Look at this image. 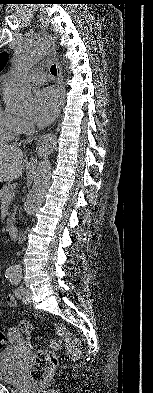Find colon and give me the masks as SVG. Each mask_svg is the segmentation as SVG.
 Masks as SVG:
<instances>
[{
	"label": "colon",
	"mask_w": 153,
	"mask_h": 393,
	"mask_svg": "<svg viewBox=\"0 0 153 393\" xmlns=\"http://www.w3.org/2000/svg\"><path fill=\"white\" fill-rule=\"evenodd\" d=\"M20 329L24 334L27 335L32 332V326L28 321H21ZM11 332L14 331L11 330ZM59 335L64 340V348L68 358L71 360H78L82 354L81 342L65 328H60ZM5 342V336L0 333V350L5 346ZM50 347L53 350H58L60 348V343L58 341L52 340L50 342ZM57 364L58 358L53 352L48 350H40L34 355L30 363L27 378L38 388H40L49 378L51 372L57 366Z\"/></svg>",
	"instance_id": "5ec220e1"
}]
</instances>
